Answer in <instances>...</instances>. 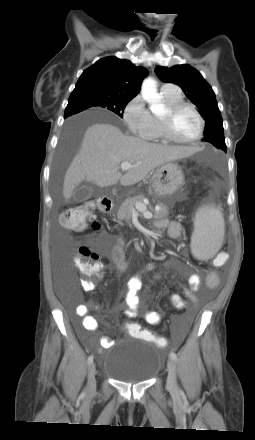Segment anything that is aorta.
<instances>
[{
    "label": "aorta",
    "instance_id": "1",
    "mask_svg": "<svg viewBox=\"0 0 255 440\" xmlns=\"http://www.w3.org/2000/svg\"><path fill=\"white\" fill-rule=\"evenodd\" d=\"M141 95L149 104L153 114H160L164 110L161 98L157 93V82L153 78H146L141 86Z\"/></svg>",
    "mask_w": 255,
    "mask_h": 440
}]
</instances>
